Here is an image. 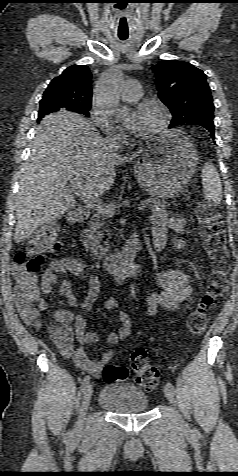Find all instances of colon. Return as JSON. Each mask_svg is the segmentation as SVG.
<instances>
[{
    "instance_id": "1",
    "label": "colon",
    "mask_w": 238,
    "mask_h": 476,
    "mask_svg": "<svg viewBox=\"0 0 238 476\" xmlns=\"http://www.w3.org/2000/svg\"><path fill=\"white\" fill-rule=\"evenodd\" d=\"M197 220L201 228L202 245L213 262V269L207 292L187 319L188 330L193 334L204 331L208 308L228 290V251L223 219L219 213L202 206L198 210ZM59 249L58 229L54 225H48L33 236L25 251L18 252L14 257L12 275L16 305L25 321L30 324L38 323L41 310L37 272L50 255ZM130 358L136 383L147 391L155 389L159 382V372L149 362L147 352L143 348H136ZM102 377L105 382H119L128 380L130 373L125 366L110 364L104 367Z\"/></svg>"
}]
</instances>
